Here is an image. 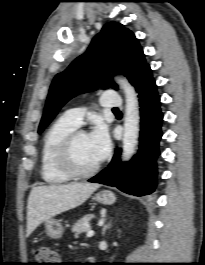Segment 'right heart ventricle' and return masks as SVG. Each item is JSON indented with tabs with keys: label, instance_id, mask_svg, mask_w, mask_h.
I'll return each mask as SVG.
<instances>
[{
	"label": "right heart ventricle",
	"instance_id": "obj_1",
	"mask_svg": "<svg viewBox=\"0 0 205 265\" xmlns=\"http://www.w3.org/2000/svg\"><path fill=\"white\" fill-rule=\"evenodd\" d=\"M76 128V125L62 116L46 131L42 142L40 164V174L46 183L63 184L71 179L59 167L57 155L64 138Z\"/></svg>",
	"mask_w": 205,
	"mask_h": 265
}]
</instances>
